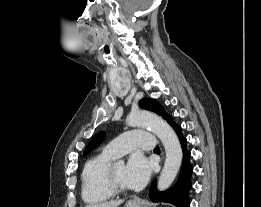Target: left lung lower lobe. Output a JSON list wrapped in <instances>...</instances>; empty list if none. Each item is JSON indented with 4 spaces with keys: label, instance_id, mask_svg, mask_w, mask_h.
<instances>
[{
    "label": "left lung lower lobe",
    "instance_id": "0a47b994",
    "mask_svg": "<svg viewBox=\"0 0 261 207\" xmlns=\"http://www.w3.org/2000/svg\"><path fill=\"white\" fill-rule=\"evenodd\" d=\"M175 130L183 150L182 167L176 184L167 191L158 192L156 181H154L149 190V197L153 202H167L176 207H189V191L192 187L191 175L193 167L190 165V152L186 148L187 139L182 135L181 126L176 123L172 125Z\"/></svg>",
    "mask_w": 261,
    "mask_h": 207
}]
</instances>
